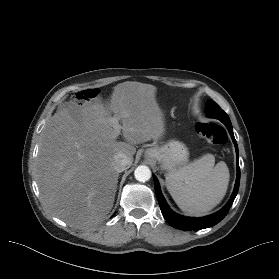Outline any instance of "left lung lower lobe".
Returning a JSON list of instances; mask_svg holds the SVG:
<instances>
[{"instance_id": "1", "label": "left lung lower lobe", "mask_w": 279, "mask_h": 279, "mask_svg": "<svg viewBox=\"0 0 279 279\" xmlns=\"http://www.w3.org/2000/svg\"><path fill=\"white\" fill-rule=\"evenodd\" d=\"M225 126L227 127L231 138L233 140V143L236 148V154H237V163H238V146L237 142L235 140L233 129L231 122H224ZM155 182V192L157 196V200L159 202V206L161 209V212L166 219V221L174 228L181 229V230H200L204 228H208L211 226H214L215 224L219 223L228 213L239 189V183H240V168L239 165L237 166V178H236V184L233 191V194L229 200V202L218 212L203 217V218H190V217H183L176 213H174L166 204L163 195L161 194L159 183L156 178H154Z\"/></svg>"}]
</instances>
